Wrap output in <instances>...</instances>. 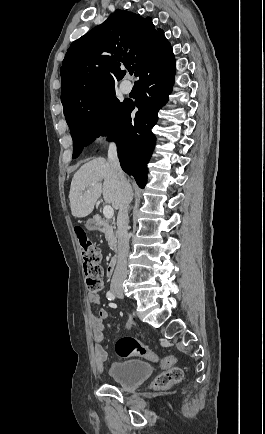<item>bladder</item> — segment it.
Masks as SVG:
<instances>
[{
  "mask_svg": "<svg viewBox=\"0 0 265 434\" xmlns=\"http://www.w3.org/2000/svg\"><path fill=\"white\" fill-rule=\"evenodd\" d=\"M151 373L150 364L141 360L115 362L108 371L110 378L125 391L136 390Z\"/></svg>",
  "mask_w": 265,
  "mask_h": 434,
  "instance_id": "31cf9c89",
  "label": "bladder"
}]
</instances>
